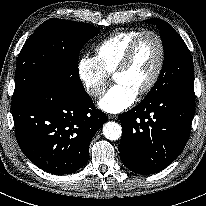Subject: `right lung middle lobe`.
<instances>
[{"label": "right lung middle lobe", "instance_id": "obj_1", "mask_svg": "<svg viewBox=\"0 0 206 206\" xmlns=\"http://www.w3.org/2000/svg\"><path fill=\"white\" fill-rule=\"evenodd\" d=\"M98 33L99 29L88 23L50 19L41 24L18 56L12 101L45 82L84 93L78 72L79 53Z\"/></svg>", "mask_w": 206, "mask_h": 206}]
</instances>
